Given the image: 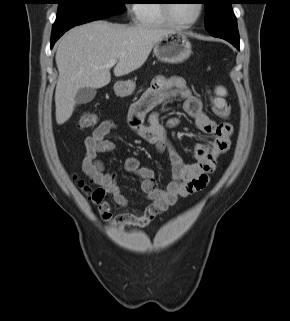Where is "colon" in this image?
<instances>
[{"label": "colon", "mask_w": 290, "mask_h": 321, "mask_svg": "<svg viewBox=\"0 0 290 321\" xmlns=\"http://www.w3.org/2000/svg\"><path fill=\"white\" fill-rule=\"evenodd\" d=\"M213 111L220 117L228 118L230 116V109L227 106H219L216 102H213ZM97 123L96 115L92 113H84L78 122V127L81 130H89L95 126ZM82 191L91 199L95 196H100L101 191L99 188L93 189L89 184L84 181H80L79 183ZM102 196V195H101Z\"/></svg>", "instance_id": "colon-1"}]
</instances>
